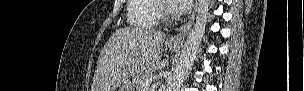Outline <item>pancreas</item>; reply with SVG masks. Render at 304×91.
<instances>
[{
    "label": "pancreas",
    "mask_w": 304,
    "mask_h": 91,
    "mask_svg": "<svg viewBox=\"0 0 304 91\" xmlns=\"http://www.w3.org/2000/svg\"><path fill=\"white\" fill-rule=\"evenodd\" d=\"M153 74L151 72L140 73L135 76L134 84L137 90H142L144 83H150L152 81Z\"/></svg>",
    "instance_id": "cf45deb5"
}]
</instances>
